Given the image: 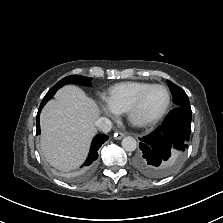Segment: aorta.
Wrapping results in <instances>:
<instances>
[{"label":"aorta","instance_id":"obj_1","mask_svg":"<svg viewBox=\"0 0 223 223\" xmlns=\"http://www.w3.org/2000/svg\"><path fill=\"white\" fill-rule=\"evenodd\" d=\"M121 143L123 149L128 152L134 151L137 147L136 140L131 136L124 137Z\"/></svg>","mask_w":223,"mask_h":223}]
</instances>
